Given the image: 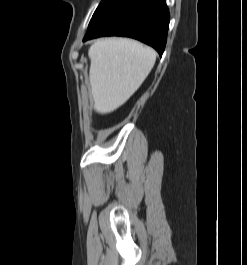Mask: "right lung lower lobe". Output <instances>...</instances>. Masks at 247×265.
<instances>
[{
	"label": "right lung lower lobe",
	"instance_id": "98d812e1",
	"mask_svg": "<svg viewBox=\"0 0 247 265\" xmlns=\"http://www.w3.org/2000/svg\"><path fill=\"white\" fill-rule=\"evenodd\" d=\"M169 20L166 0H103L83 41L100 36H127L152 46L161 56Z\"/></svg>",
	"mask_w": 247,
	"mask_h": 265
}]
</instances>
